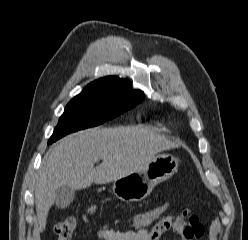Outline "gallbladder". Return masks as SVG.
I'll return each mask as SVG.
<instances>
[{"instance_id": "1", "label": "gallbladder", "mask_w": 248, "mask_h": 240, "mask_svg": "<svg viewBox=\"0 0 248 240\" xmlns=\"http://www.w3.org/2000/svg\"><path fill=\"white\" fill-rule=\"evenodd\" d=\"M75 197V190L68 186H61L55 192V204L59 209L67 208Z\"/></svg>"}]
</instances>
